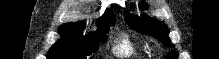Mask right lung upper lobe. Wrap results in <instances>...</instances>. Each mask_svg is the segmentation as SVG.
I'll list each match as a JSON object with an SVG mask.
<instances>
[{
    "instance_id": "obj_1",
    "label": "right lung upper lobe",
    "mask_w": 219,
    "mask_h": 59,
    "mask_svg": "<svg viewBox=\"0 0 219 59\" xmlns=\"http://www.w3.org/2000/svg\"><path fill=\"white\" fill-rule=\"evenodd\" d=\"M115 21L116 19L112 11L106 10L103 16L97 20V25H98V28L101 29L109 25L115 24ZM66 26L82 28V25H80L79 23H69V24H66Z\"/></svg>"
}]
</instances>
